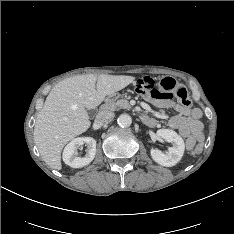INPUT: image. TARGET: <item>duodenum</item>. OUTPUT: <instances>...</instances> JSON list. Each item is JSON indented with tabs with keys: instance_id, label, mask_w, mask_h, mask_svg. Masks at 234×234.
<instances>
[{
	"instance_id": "410a0bca",
	"label": "duodenum",
	"mask_w": 234,
	"mask_h": 234,
	"mask_svg": "<svg viewBox=\"0 0 234 234\" xmlns=\"http://www.w3.org/2000/svg\"><path fill=\"white\" fill-rule=\"evenodd\" d=\"M116 98H117V95H116V94L110 95V96L106 99V101L104 102V104H103V106H102V109H103V110H108V109L112 106V104H113V102L115 101Z\"/></svg>"
}]
</instances>
